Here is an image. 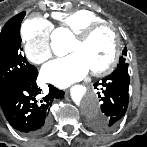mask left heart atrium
Listing matches in <instances>:
<instances>
[{
    "mask_svg": "<svg viewBox=\"0 0 147 147\" xmlns=\"http://www.w3.org/2000/svg\"><path fill=\"white\" fill-rule=\"evenodd\" d=\"M90 69L79 53L53 60L46 64L41 72L42 78L59 87H67L73 82L82 80Z\"/></svg>",
    "mask_w": 147,
    "mask_h": 147,
    "instance_id": "39dd6f15",
    "label": "left heart atrium"
}]
</instances>
